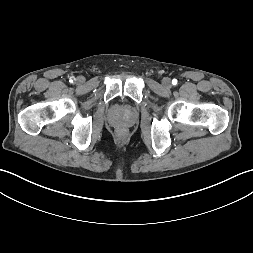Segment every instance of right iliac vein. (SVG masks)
I'll return each mask as SVG.
<instances>
[{
  "label": "right iliac vein",
  "mask_w": 253,
  "mask_h": 253,
  "mask_svg": "<svg viewBox=\"0 0 253 253\" xmlns=\"http://www.w3.org/2000/svg\"><path fill=\"white\" fill-rule=\"evenodd\" d=\"M76 82H77L78 84H82V83L85 82V78H84L83 76H78V77L76 78Z\"/></svg>",
  "instance_id": "63e3f726"
}]
</instances>
